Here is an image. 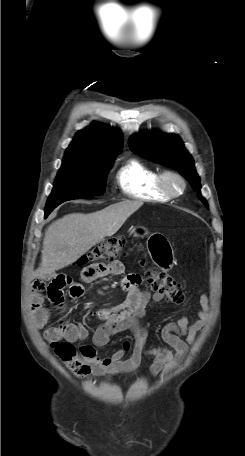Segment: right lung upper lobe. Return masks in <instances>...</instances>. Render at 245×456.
I'll use <instances>...</instances> for the list:
<instances>
[{
	"label": "right lung upper lobe",
	"mask_w": 245,
	"mask_h": 456,
	"mask_svg": "<svg viewBox=\"0 0 245 456\" xmlns=\"http://www.w3.org/2000/svg\"><path fill=\"white\" fill-rule=\"evenodd\" d=\"M122 149L123 136L120 131L93 123L76 134L66 149L63 163L97 162L116 157Z\"/></svg>",
	"instance_id": "1"
}]
</instances>
